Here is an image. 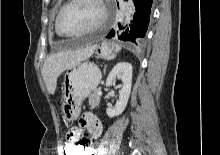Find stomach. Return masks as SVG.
<instances>
[{
  "label": "stomach",
  "instance_id": "obj_1",
  "mask_svg": "<svg viewBox=\"0 0 220 155\" xmlns=\"http://www.w3.org/2000/svg\"><path fill=\"white\" fill-rule=\"evenodd\" d=\"M119 50L118 45L106 42L97 47V53L106 59H113ZM100 80V69L90 62H83L66 73L60 107L65 121L78 118L83 101L95 91Z\"/></svg>",
  "mask_w": 220,
  "mask_h": 155
}]
</instances>
